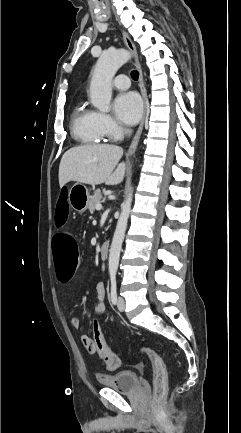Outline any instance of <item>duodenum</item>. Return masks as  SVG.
<instances>
[{"label": "duodenum", "mask_w": 241, "mask_h": 433, "mask_svg": "<svg viewBox=\"0 0 241 433\" xmlns=\"http://www.w3.org/2000/svg\"><path fill=\"white\" fill-rule=\"evenodd\" d=\"M109 243L108 242H103L100 245V257L102 260H107L108 255H109Z\"/></svg>", "instance_id": "410a0bca"}]
</instances>
